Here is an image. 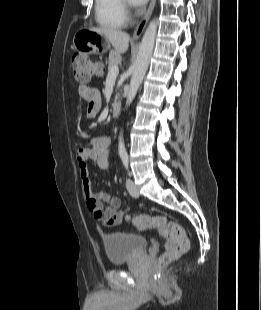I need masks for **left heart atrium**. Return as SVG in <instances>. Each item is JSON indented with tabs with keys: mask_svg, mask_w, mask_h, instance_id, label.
Returning <instances> with one entry per match:
<instances>
[{
	"mask_svg": "<svg viewBox=\"0 0 261 310\" xmlns=\"http://www.w3.org/2000/svg\"><path fill=\"white\" fill-rule=\"evenodd\" d=\"M135 6H143L145 5L148 0H129Z\"/></svg>",
	"mask_w": 261,
	"mask_h": 310,
	"instance_id": "left-heart-atrium-1",
	"label": "left heart atrium"
}]
</instances>
